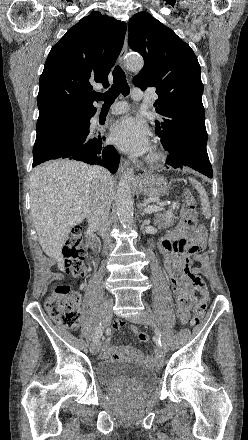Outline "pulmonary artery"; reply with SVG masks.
Here are the masks:
<instances>
[{
	"mask_svg": "<svg viewBox=\"0 0 248 440\" xmlns=\"http://www.w3.org/2000/svg\"><path fill=\"white\" fill-rule=\"evenodd\" d=\"M143 97H144V93L141 89H139V88L133 89L132 98L134 100H141V99H143ZM127 107H128L127 104L124 102L118 103L111 108L110 112H111V114H121L127 110ZM98 118H99V116L95 115L93 119H94V121H97Z\"/></svg>",
	"mask_w": 248,
	"mask_h": 440,
	"instance_id": "e3ab8cb5",
	"label": "pulmonary artery"
}]
</instances>
